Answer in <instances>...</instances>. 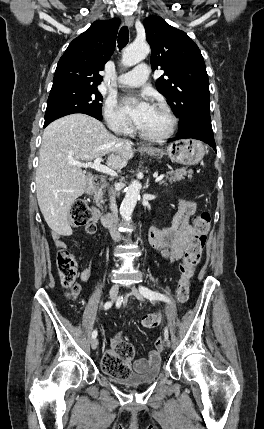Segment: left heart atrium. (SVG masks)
Listing matches in <instances>:
<instances>
[{"instance_id": "obj_1", "label": "left heart atrium", "mask_w": 264, "mask_h": 429, "mask_svg": "<svg viewBox=\"0 0 264 429\" xmlns=\"http://www.w3.org/2000/svg\"><path fill=\"white\" fill-rule=\"evenodd\" d=\"M151 109V104L144 96L138 99L134 97H125L122 100L123 112L131 118L137 127L142 125Z\"/></svg>"}]
</instances>
